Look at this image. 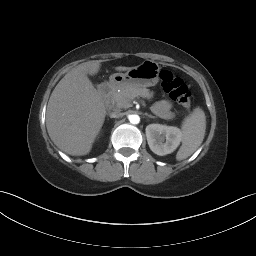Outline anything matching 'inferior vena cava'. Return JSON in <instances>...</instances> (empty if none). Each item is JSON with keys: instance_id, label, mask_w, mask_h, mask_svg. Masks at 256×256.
I'll return each mask as SVG.
<instances>
[{"instance_id": "1", "label": "inferior vena cava", "mask_w": 256, "mask_h": 256, "mask_svg": "<svg viewBox=\"0 0 256 256\" xmlns=\"http://www.w3.org/2000/svg\"><path fill=\"white\" fill-rule=\"evenodd\" d=\"M122 116V113L120 110H114L113 112L110 113L111 118H119Z\"/></svg>"}]
</instances>
